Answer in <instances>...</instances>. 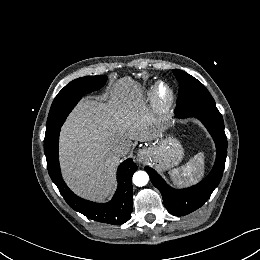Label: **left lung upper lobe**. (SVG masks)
Listing matches in <instances>:
<instances>
[{
  "instance_id": "5c2ea615",
  "label": "left lung upper lobe",
  "mask_w": 260,
  "mask_h": 260,
  "mask_svg": "<svg viewBox=\"0 0 260 260\" xmlns=\"http://www.w3.org/2000/svg\"><path fill=\"white\" fill-rule=\"evenodd\" d=\"M179 81V97L175 112L188 109L191 106H216L215 101L206 87L191 75L182 70H173Z\"/></svg>"
}]
</instances>
